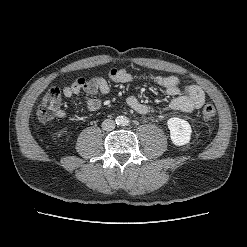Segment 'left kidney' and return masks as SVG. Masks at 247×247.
Returning a JSON list of instances; mask_svg holds the SVG:
<instances>
[{
	"mask_svg": "<svg viewBox=\"0 0 247 247\" xmlns=\"http://www.w3.org/2000/svg\"><path fill=\"white\" fill-rule=\"evenodd\" d=\"M167 126L170 130V138L174 145L182 146L189 143L192 129L186 120L173 117L167 121Z\"/></svg>",
	"mask_w": 247,
	"mask_h": 247,
	"instance_id": "1",
	"label": "left kidney"
}]
</instances>
